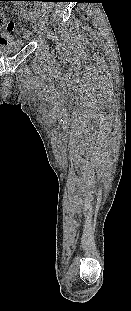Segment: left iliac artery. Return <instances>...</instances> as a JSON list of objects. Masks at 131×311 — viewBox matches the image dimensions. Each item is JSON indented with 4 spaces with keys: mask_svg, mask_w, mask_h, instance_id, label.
Instances as JSON below:
<instances>
[{
    "mask_svg": "<svg viewBox=\"0 0 131 311\" xmlns=\"http://www.w3.org/2000/svg\"><path fill=\"white\" fill-rule=\"evenodd\" d=\"M47 22H48V18L42 16V18H41V23H42V24H45V23H47Z\"/></svg>",
    "mask_w": 131,
    "mask_h": 311,
    "instance_id": "44dca946",
    "label": "left iliac artery"
}]
</instances>
